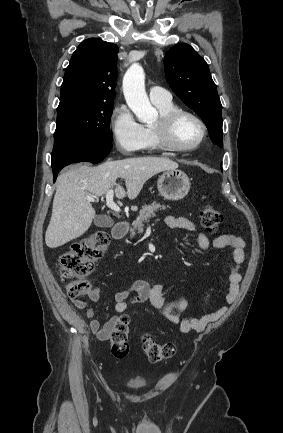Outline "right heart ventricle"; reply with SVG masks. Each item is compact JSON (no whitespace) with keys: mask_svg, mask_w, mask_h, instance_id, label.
Masks as SVG:
<instances>
[{"mask_svg":"<svg viewBox=\"0 0 283 433\" xmlns=\"http://www.w3.org/2000/svg\"><path fill=\"white\" fill-rule=\"evenodd\" d=\"M155 106L158 110L160 118L163 117L165 114L169 113L170 111L177 109V106L173 103V101L167 103L155 104ZM145 130L149 136L150 142L154 145L159 146L160 142H159L158 135L154 129V125L146 127Z\"/></svg>","mask_w":283,"mask_h":433,"instance_id":"1","label":"right heart ventricle"}]
</instances>
